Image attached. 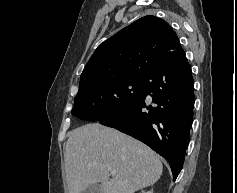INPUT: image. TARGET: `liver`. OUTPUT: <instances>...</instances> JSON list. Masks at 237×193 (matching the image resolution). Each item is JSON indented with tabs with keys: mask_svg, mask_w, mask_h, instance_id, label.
<instances>
[{
	"mask_svg": "<svg viewBox=\"0 0 237 193\" xmlns=\"http://www.w3.org/2000/svg\"><path fill=\"white\" fill-rule=\"evenodd\" d=\"M69 193H82L100 183L103 193H135L155 184L163 166L142 142L99 124L70 132L64 153ZM112 168L116 175L110 178Z\"/></svg>",
	"mask_w": 237,
	"mask_h": 193,
	"instance_id": "liver-1",
	"label": "liver"
}]
</instances>
